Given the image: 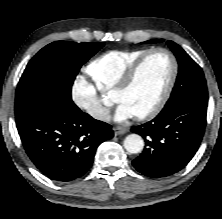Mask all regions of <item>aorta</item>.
Here are the masks:
<instances>
[{
  "mask_svg": "<svg viewBox=\"0 0 222 219\" xmlns=\"http://www.w3.org/2000/svg\"><path fill=\"white\" fill-rule=\"evenodd\" d=\"M144 141L138 134H130L124 139V148L131 154H137L143 150Z\"/></svg>",
  "mask_w": 222,
  "mask_h": 219,
  "instance_id": "762f6f07",
  "label": "aorta"
}]
</instances>
